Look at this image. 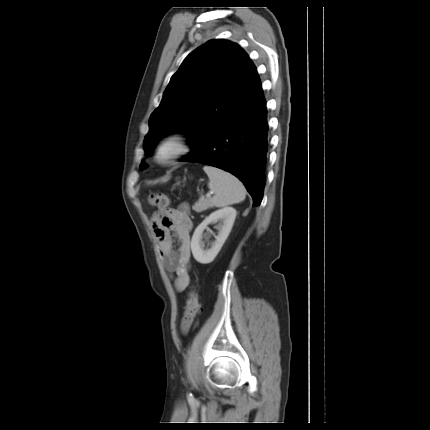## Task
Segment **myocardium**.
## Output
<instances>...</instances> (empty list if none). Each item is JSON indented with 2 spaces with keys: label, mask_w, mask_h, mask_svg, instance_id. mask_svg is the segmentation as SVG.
<instances>
[{
  "label": "myocardium",
  "mask_w": 430,
  "mask_h": 430,
  "mask_svg": "<svg viewBox=\"0 0 430 430\" xmlns=\"http://www.w3.org/2000/svg\"><path fill=\"white\" fill-rule=\"evenodd\" d=\"M189 151L187 137L182 133L163 136L154 149V159L160 165H170Z\"/></svg>",
  "instance_id": "1"
}]
</instances>
